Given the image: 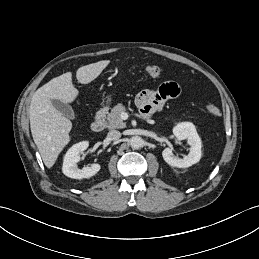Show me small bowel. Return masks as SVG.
Listing matches in <instances>:
<instances>
[{"mask_svg":"<svg viewBox=\"0 0 259 259\" xmlns=\"http://www.w3.org/2000/svg\"><path fill=\"white\" fill-rule=\"evenodd\" d=\"M180 94V87L176 82L164 81L154 89L141 91L136 96V104L140 112L149 117L152 114L161 111L168 100L177 97Z\"/></svg>","mask_w":259,"mask_h":259,"instance_id":"obj_1","label":"small bowel"}]
</instances>
